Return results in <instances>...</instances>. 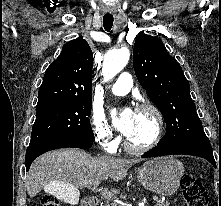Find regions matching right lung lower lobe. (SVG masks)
<instances>
[{
  "instance_id": "obj_1",
  "label": "right lung lower lobe",
  "mask_w": 221,
  "mask_h": 206,
  "mask_svg": "<svg viewBox=\"0 0 221 206\" xmlns=\"http://www.w3.org/2000/svg\"><path fill=\"white\" fill-rule=\"evenodd\" d=\"M92 145L93 141L86 139H64L31 145L27 148L25 156L26 171L29 170L31 163L35 158L47 151L66 147L88 149Z\"/></svg>"
}]
</instances>
